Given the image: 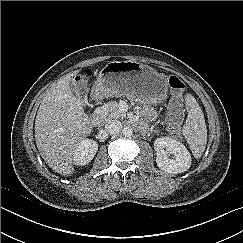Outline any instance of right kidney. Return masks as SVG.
Listing matches in <instances>:
<instances>
[{"label": "right kidney", "instance_id": "1", "mask_svg": "<svg viewBox=\"0 0 243 243\" xmlns=\"http://www.w3.org/2000/svg\"><path fill=\"white\" fill-rule=\"evenodd\" d=\"M97 150L98 144L94 140L82 138L73 154L74 163L79 166L88 164Z\"/></svg>", "mask_w": 243, "mask_h": 243}]
</instances>
